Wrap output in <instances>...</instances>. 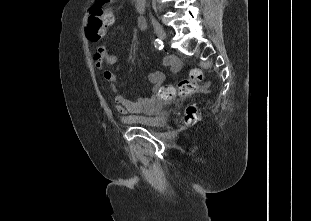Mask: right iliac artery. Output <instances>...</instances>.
<instances>
[{
  "label": "right iliac artery",
  "mask_w": 311,
  "mask_h": 221,
  "mask_svg": "<svg viewBox=\"0 0 311 221\" xmlns=\"http://www.w3.org/2000/svg\"><path fill=\"white\" fill-rule=\"evenodd\" d=\"M154 46L157 50H161L163 48V42L161 41V39L156 38L154 41Z\"/></svg>",
  "instance_id": "obj_1"
}]
</instances>
